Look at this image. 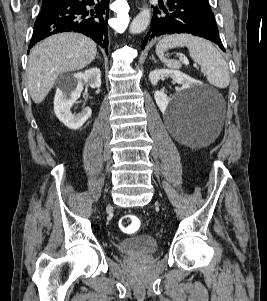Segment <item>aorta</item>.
I'll use <instances>...</instances> for the list:
<instances>
[{"mask_svg":"<svg viewBox=\"0 0 267 301\" xmlns=\"http://www.w3.org/2000/svg\"><path fill=\"white\" fill-rule=\"evenodd\" d=\"M151 20V11L147 7H143L140 13L133 19L130 24L129 32L131 34H140L146 30Z\"/></svg>","mask_w":267,"mask_h":301,"instance_id":"obj_1","label":"aorta"}]
</instances>
